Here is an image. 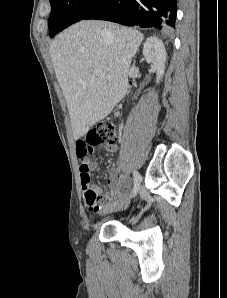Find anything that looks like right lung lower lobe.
Wrapping results in <instances>:
<instances>
[{"mask_svg": "<svg viewBox=\"0 0 227 298\" xmlns=\"http://www.w3.org/2000/svg\"><path fill=\"white\" fill-rule=\"evenodd\" d=\"M176 12L177 0H105L84 19L165 30L175 27Z\"/></svg>", "mask_w": 227, "mask_h": 298, "instance_id": "right-lung-lower-lobe-1", "label": "right lung lower lobe"}]
</instances>
